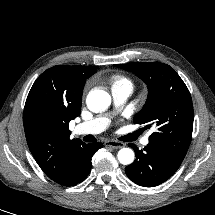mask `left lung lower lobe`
Returning <instances> with one entry per match:
<instances>
[{"mask_svg": "<svg viewBox=\"0 0 215 215\" xmlns=\"http://www.w3.org/2000/svg\"><path fill=\"white\" fill-rule=\"evenodd\" d=\"M135 151V161L125 168L126 175L134 183L144 186H157L169 179L179 168V159L162 147L149 143L143 150L129 144Z\"/></svg>", "mask_w": 215, "mask_h": 215, "instance_id": "obj_1", "label": "left lung lower lobe"}]
</instances>
